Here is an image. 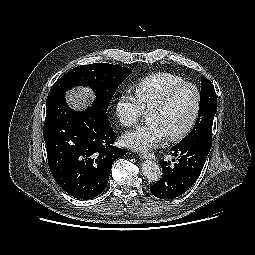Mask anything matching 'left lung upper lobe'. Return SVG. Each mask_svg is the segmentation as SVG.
I'll use <instances>...</instances> for the list:
<instances>
[{
    "mask_svg": "<svg viewBox=\"0 0 255 255\" xmlns=\"http://www.w3.org/2000/svg\"><path fill=\"white\" fill-rule=\"evenodd\" d=\"M217 111V96L214 86L205 77H201V94L198 119L193 130L177 145L198 139L212 140L213 119Z\"/></svg>",
    "mask_w": 255,
    "mask_h": 255,
    "instance_id": "left-lung-upper-lobe-1",
    "label": "left lung upper lobe"
}]
</instances>
